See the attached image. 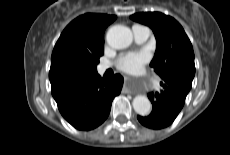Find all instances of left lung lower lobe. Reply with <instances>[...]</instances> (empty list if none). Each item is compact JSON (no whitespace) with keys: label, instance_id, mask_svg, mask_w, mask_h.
<instances>
[{"label":"left lung lower lobe","instance_id":"1","mask_svg":"<svg viewBox=\"0 0 230 155\" xmlns=\"http://www.w3.org/2000/svg\"><path fill=\"white\" fill-rule=\"evenodd\" d=\"M160 84L161 92L148 94L153 104L151 114L147 117H137L142 125L151 129H161L172 124L190 91V88L178 81L163 80Z\"/></svg>","mask_w":230,"mask_h":155}]
</instances>
